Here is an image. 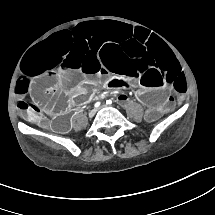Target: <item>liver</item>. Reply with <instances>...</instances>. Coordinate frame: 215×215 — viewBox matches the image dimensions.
Listing matches in <instances>:
<instances>
[{
    "instance_id": "liver-1",
    "label": "liver",
    "mask_w": 215,
    "mask_h": 215,
    "mask_svg": "<svg viewBox=\"0 0 215 215\" xmlns=\"http://www.w3.org/2000/svg\"><path fill=\"white\" fill-rule=\"evenodd\" d=\"M42 128L45 129V130H51V128L48 127V126H42Z\"/></svg>"
}]
</instances>
